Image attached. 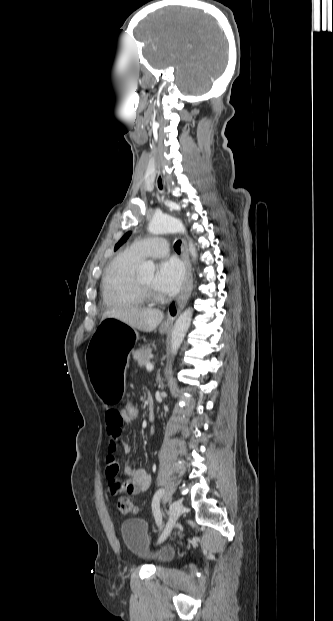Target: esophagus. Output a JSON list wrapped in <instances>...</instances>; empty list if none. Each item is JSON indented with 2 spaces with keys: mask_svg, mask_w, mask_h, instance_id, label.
I'll list each match as a JSON object with an SVG mask.
<instances>
[{
  "mask_svg": "<svg viewBox=\"0 0 333 621\" xmlns=\"http://www.w3.org/2000/svg\"><path fill=\"white\" fill-rule=\"evenodd\" d=\"M162 182H164V178H163V174L161 173L160 170H158L157 172V183H158V190L159 192H162ZM182 257L186 266V279H185V286L184 289L181 293V295L179 296V298L172 302L169 306L168 309V313H167V318L164 320L163 322V326H170L173 324L175 318L178 316V314L182 311V309L184 308V306L187 303V300L191 294L192 291V274H191V265H190V261H189V256H188V250H187V245L184 239H182Z\"/></svg>",
  "mask_w": 333,
  "mask_h": 621,
  "instance_id": "obj_1",
  "label": "esophagus"
}]
</instances>
